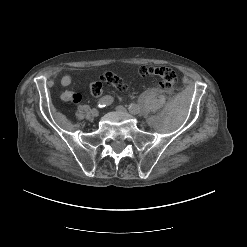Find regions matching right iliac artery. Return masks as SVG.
I'll use <instances>...</instances> for the list:
<instances>
[{
    "mask_svg": "<svg viewBox=\"0 0 247 247\" xmlns=\"http://www.w3.org/2000/svg\"><path fill=\"white\" fill-rule=\"evenodd\" d=\"M113 103V97L109 96V95H106L104 97H102L98 103H97V106L99 108H103V107H106V106H109Z\"/></svg>",
    "mask_w": 247,
    "mask_h": 247,
    "instance_id": "1",
    "label": "right iliac artery"
}]
</instances>
